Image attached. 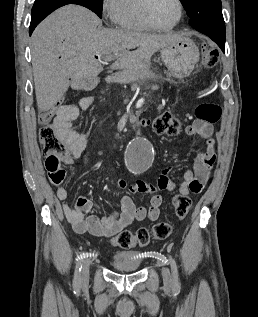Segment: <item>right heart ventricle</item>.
Wrapping results in <instances>:
<instances>
[{
    "instance_id": "obj_1",
    "label": "right heart ventricle",
    "mask_w": 258,
    "mask_h": 317,
    "mask_svg": "<svg viewBox=\"0 0 258 317\" xmlns=\"http://www.w3.org/2000/svg\"><path fill=\"white\" fill-rule=\"evenodd\" d=\"M145 0H120V26L125 30L146 32L147 29L140 18L141 7Z\"/></svg>"
}]
</instances>
